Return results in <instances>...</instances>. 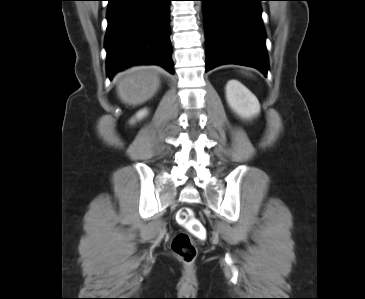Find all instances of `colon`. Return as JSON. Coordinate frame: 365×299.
I'll use <instances>...</instances> for the list:
<instances>
[{
  "instance_id": "5ec220e1",
  "label": "colon",
  "mask_w": 365,
  "mask_h": 299,
  "mask_svg": "<svg viewBox=\"0 0 365 299\" xmlns=\"http://www.w3.org/2000/svg\"><path fill=\"white\" fill-rule=\"evenodd\" d=\"M177 222L187 232L176 234L172 240L171 248L181 260L191 263L197 256V248L191 235L200 239L206 235V230L200 220H198L190 207H183L177 213Z\"/></svg>"
}]
</instances>
